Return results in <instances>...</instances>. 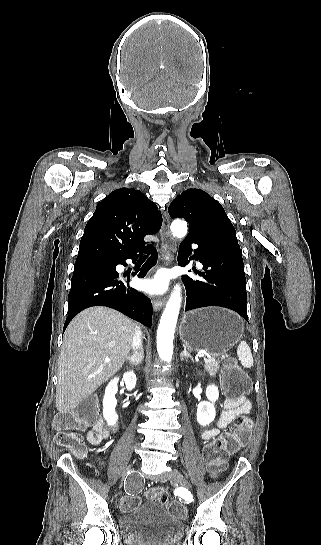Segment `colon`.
Masks as SVG:
<instances>
[{
    "label": "colon",
    "mask_w": 321,
    "mask_h": 545,
    "mask_svg": "<svg viewBox=\"0 0 321 545\" xmlns=\"http://www.w3.org/2000/svg\"><path fill=\"white\" fill-rule=\"evenodd\" d=\"M222 385L225 394L232 399L239 398L250 390L248 376L239 370L232 361H228L224 365ZM94 411V399H86L77 408L59 414L55 419V424L60 431L55 435V443L70 449L77 457H84L86 446L81 431L93 422ZM252 426L253 421L250 417L240 416L236 419L231 431L205 446L203 458L213 476L224 470L229 455L238 452L248 442ZM147 497L167 505L168 510L175 517L183 518L185 516L183 506L178 502L169 500L166 488L153 487L148 490ZM140 504V497L128 494L121 500L120 509L128 511Z\"/></svg>",
    "instance_id": "1"
}]
</instances>
